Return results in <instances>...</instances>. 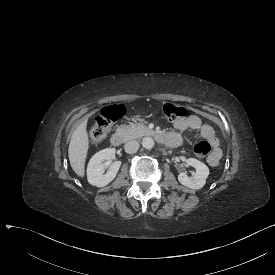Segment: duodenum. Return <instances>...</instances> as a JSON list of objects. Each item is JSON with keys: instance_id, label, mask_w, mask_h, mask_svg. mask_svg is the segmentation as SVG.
I'll return each instance as SVG.
<instances>
[{"instance_id": "duodenum-1", "label": "duodenum", "mask_w": 275, "mask_h": 275, "mask_svg": "<svg viewBox=\"0 0 275 275\" xmlns=\"http://www.w3.org/2000/svg\"><path fill=\"white\" fill-rule=\"evenodd\" d=\"M152 134L160 143H163L169 146H176L179 143L178 139L172 134L161 133V132H152ZM110 142L115 147L120 146L124 142V134L121 131L115 132L111 136Z\"/></svg>"}]
</instances>
